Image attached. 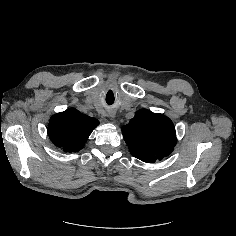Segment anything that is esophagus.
<instances>
[{
    "mask_svg": "<svg viewBox=\"0 0 236 236\" xmlns=\"http://www.w3.org/2000/svg\"><path fill=\"white\" fill-rule=\"evenodd\" d=\"M110 117L114 119L116 117V113L114 112L113 114H110Z\"/></svg>",
    "mask_w": 236,
    "mask_h": 236,
    "instance_id": "esophagus-1",
    "label": "esophagus"
}]
</instances>
